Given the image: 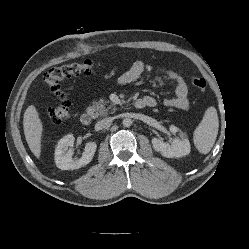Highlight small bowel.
<instances>
[{"label": "small bowel", "instance_id": "c3829d8e", "mask_svg": "<svg viewBox=\"0 0 249 249\" xmlns=\"http://www.w3.org/2000/svg\"><path fill=\"white\" fill-rule=\"evenodd\" d=\"M152 72L153 68L150 65L145 64L141 60H137L126 72L117 78V84H139L146 77H151L159 86L163 87L165 85L164 78L158 75H153ZM116 73L117 70L112 69L110 72L106 73L103 78L111 79L116 75ZM165 76L175 84V90L173 96L163 100V105L166 107L188 110L190 106L188 100V87L183 76L179 72L173 70H166ZM140 99L145 101L146 107H154L156 105V100L151 96H144Z\"/></svg>", "mask_w": 249, "mask_h": 249}]
</instances>
